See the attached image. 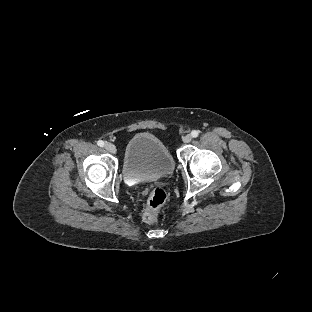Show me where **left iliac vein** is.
<instances>
[{
    "instance_id": "4c4485c4",
    "label": "left iliac vein",
    "mask_w": 312,
    "mask_h": 312,
    "mask_svg": "<svg viewBox=\"0 0 312 312\" xmlns=\"http://www.w3.org/2000/svg\"><path fill=\"white\" fill-rule=\"evenodd\" d=\"M191 140H192V136L190 134H187L183 137V142L186 144L191 142Z\"/></svg>"
}]
</instances>
